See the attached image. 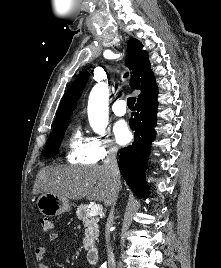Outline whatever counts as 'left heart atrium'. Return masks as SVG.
<instances>
[{
	"label": "left heart atrium",
	"mask_w": 221,
	"mask_h": 268,
	"mask_svg": "<svg viewBox=\"0 0 221 268\" xmlns=\"http://www.w3.org/2000/svg\"><path fill=\"white\" fill-rule=\"evenodd\" d=\"M115 140L120 145L127 144L131 139V131L124 120L117 121L113 126Z\"/></svg>",
	"instance_id": "1"
}]
</instances>
